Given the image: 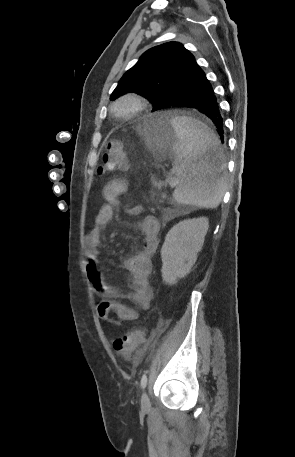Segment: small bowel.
<instances>
[{"label": "small bowel", "instance_id": "obj_1", "mask_svg": "<svg viewBox=\"0 0 295 457\" xmlns=\"http://www.w3.org/2000/svg\"><path fill=\"white\" fill-rule=\"evenodd\" d=\"M127 185L122 180H112L103 188L105 203L100 207L94 226L86 235V273L94 292L102 297L97 306V312L104 321L120 326L125 321L139 319L140 313L122 303L120 299H127L144 311L150 308L154 299V292L149 284V275L152 270V259L158 248L159 223L153 216H146L139 223V230L142 234V249L135 256L125 259L122 267L129 272L131 278V289L128 293L122 294L109 286L103 279L99 269V248L102 244V230L112 220L114 211L119 205V197L125 193ZM142 208L139 206L128 208L131 214H139ZM115 314L116 317H113ZM139 352L126 358L136 357Z\"/></svg>", "mask_w": 295, "mask_h": 457}]
</instances>
